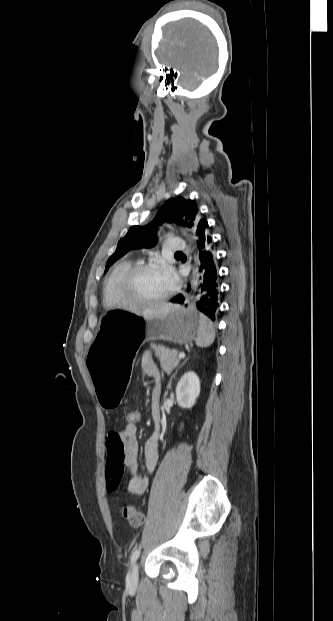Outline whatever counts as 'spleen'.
<instances>
[{
  "mask_svg": "<svg viewBox=\"0 0 333 621\" xmlns=\"http://www.w3.org/2000/svg\"><path fill=\"white\" fill-rule=\"evenodd\" d=\"M215 339V329L212 321L204 314H199V329L196 345L201 348L210 346Z\"/></svg>",
  "mask_w": 333,
  "mask_h": 621,
  "instance_id": "1",
  "label": "spleen"
}]
</instances>
